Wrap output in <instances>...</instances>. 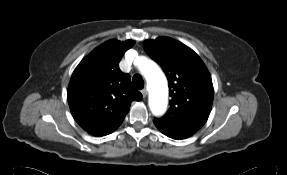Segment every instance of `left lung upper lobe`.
<instances>
[{"instance_id": "left-lung-upper-lobe-1", "label": "left lung upper lobe", "mask_w": 287, "mask_h": 175, "mask_svg": "<svg viewBox=\"0 0 287 175\" xmlns=\"http://www.w3.org/2000/svg\"><path fill=\"white\" fill-rule=\"evenodd\" d=\"M146 53L165 72L170 91V108L154 124L181 138H188L207 121L214 89L200 57L189 47L169 37L144 42Z\"/></svg>"}]
</instances>
